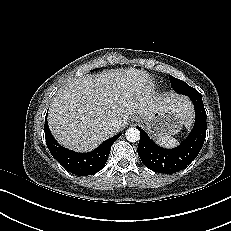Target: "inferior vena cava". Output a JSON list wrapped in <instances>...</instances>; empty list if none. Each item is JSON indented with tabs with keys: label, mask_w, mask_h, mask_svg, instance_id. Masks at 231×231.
<instances>
[{
	"label": "inferior vena cava",
	"mask_w": 231,
	"mask_h": 231,
	"mask_svg": "<svg viewBox=\"0 0 231 231\" xmlns=\"http://www.w3.org/2000/svg\"><path fill=\"white\" fill-rule=\"evenodd\" d=\"M122 127H123L122 122L118 120H113L108 124L109 130H111L114 133L120 131Z\"/></svg>",
	"instance_id": "1"
}]
</instances>
